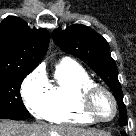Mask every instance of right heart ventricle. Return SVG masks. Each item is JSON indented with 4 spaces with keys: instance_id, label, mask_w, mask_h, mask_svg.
<instances>
[{
    "instance_id": "e07e8e85",
    "label": "right heart ventricle",
    "mask_w": 136,
    "mask_h": 136,
    "mask_svg": "<svg viewBox=\"0 0 136 136\" xmlns=\"http://www.w3.org/2000/svg\"><path fill=\"white\" fill-rule=\"evenodd\" d=\"M95 84L77 63L65 59L56 67L54 83L50 84V103L42 118L58 124H91L84 114L80 96L84 88Z\"/></svg>"
}]
</instances>
